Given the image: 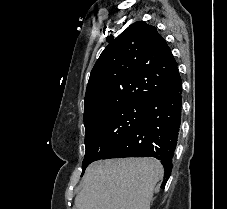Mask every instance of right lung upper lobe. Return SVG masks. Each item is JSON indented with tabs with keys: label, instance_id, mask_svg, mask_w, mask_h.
Listing matches in <instances>:
<instances>
[{
	"label": "right lung upper lobe",
	"instance_id": "right-lung-upper-lobe-1",
	"mask_svg": "<svg viewBox=\"0 0 227 209\" xmlns=\"http://www.w3.org/2000/svg\"><path fill=\"white\" fill-rule=\"evenodd\" d=\"M176 61L165 39L144 21L130 25L114 39L93 67L86 89L84 120L103 110L101 101L118 98L144 102L170 86L163 73Z\"/></svg>",
	"mask_w": 227,
	"mask_h": 209
}]
</instances>
